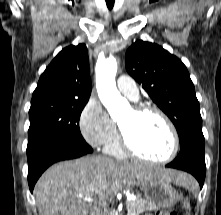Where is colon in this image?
<instances>
[{
	"label": "colon",
	"mask_w": 221,
	"mask_h": 215,
	"mask_svg": "<svg viewBox=\"0 0 221 215\" xmlns=\"http://www.w3.org/2000/svg\"><path fill=\"white\" fill-rule=\"evenodd\" d=\"M157 215H178V214L174 211H162L158 213Z\"/></svg>",
	"instance_id": "colon-1"
}]
</instances>
